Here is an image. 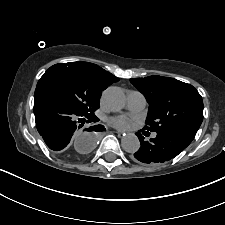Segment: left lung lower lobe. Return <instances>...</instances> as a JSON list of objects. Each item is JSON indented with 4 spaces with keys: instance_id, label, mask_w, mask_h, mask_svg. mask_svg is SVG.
Returning a JSON list of instances; mask_svg holds the SVG:
<instances>
[{
    "instance_id": "1",
    "label": "left lung lower lobe",
    "mask_w": 225,
    "mask_h": 225,
    "mask_svg": "<svg viewBox=\"0 0 225 225\" xmlns=\"http://www.w3.org/2000/svg\"><path fill=\"white\" fill-rule=\"evenodd\" d=\"M199 128L193 126L180 127L157 133L149 141L144 136H149V131L142 130L136 133L141 147L134 153L136 162L146 165H159L180 154L194 139Z\"/></svg>"
}]
</instances>
